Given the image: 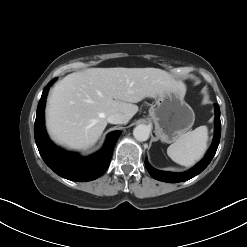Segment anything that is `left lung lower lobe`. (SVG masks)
<instances>
[{
  "mask_svg": "<svg viewBox=\"0 0 247 247\" xmlns=\"http://www.w3.org/2000/svg\"><path fill=\"white\" fill-rule=\"evenodd\" d=\"M220 135H221L220 108L217 104H215V135H214L213 143L203 160H201L189 171L183 173H172V172L156 170L149 165L147 159L145 160L146 168L149 171L150 175L154 179L159 181L168 182V183H178V182L187 181L195 177L199 173H201L211 162L218 148Z\"/></svg>",
  "mask_w": 247,
  "mask_h": 247,
  "instance_id": "obj_1",
  "label": "left lung lower lobe"
}]
</instances>
